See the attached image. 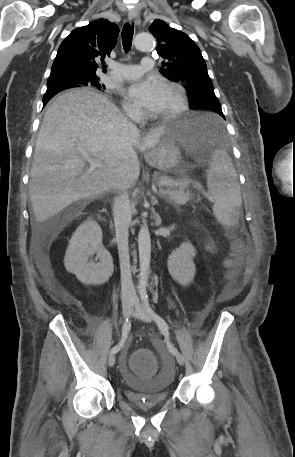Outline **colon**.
Returning <instances> with one entry per match:
<instances>
[{"label":"colon","instance_id":"obj_1","mask_svg":"<svg viewBox=\"0 0 295 457\" xmlns=\"http://www.w3.org/2000/svg\"><path fill=\"white\" fill-rule=\"evenodd\" d=\"M249 238L244 232L231 238L230 257L226 261L229 275L234 276L244 258L248 248ZM131 359L134 360V372H140L142 378H149L151 372H157V363L150 346H135L131 352Z\"/></svg>","mask_w":295,"mask_h":457}]
</instances>
